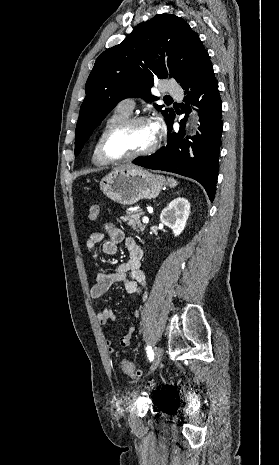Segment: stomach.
I'll use <instances>...</instances> for the list:
<instances>
[{
	"label": "stomach",
	"instance_id": "stomach-1",
	"mask_svg": "<svg viewBox=\"0 0 279 465\" xmlns=\"http://www.w3.org/2000/svg\"><path fill=\"white\" fill-rule=\"evenodd\" d=\"M166 184L163 176L133 167L115 169L100 181V188L114 202L133 205L142 199L156 198Z\"/></svg>",
	"mask_w": 279,
	"mask_h": 465
}]
</instances>
